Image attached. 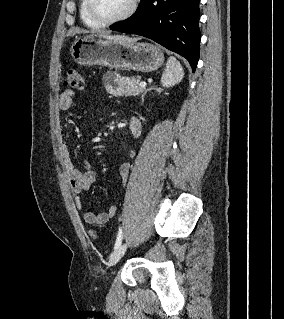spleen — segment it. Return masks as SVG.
I'll use <instances>...</instances> for the list:
<instances>
[{
	"label": "spleen",
	"instance_id": "obj_1",
	"mask_svg": "<svg viewBox=\"0 0 284 319\" xmlns=\"http://www.w3.org/2000/svg\"><path fill=\"white\" fill-rule=\"evenodd\" d=\"M184 71L180 62L173 56L168 58L166 68L161 77L163 87H171L181 82Z\"/></svg>",
	"mask_w": 284,
	"mask_h": 319
}]
</instances>
